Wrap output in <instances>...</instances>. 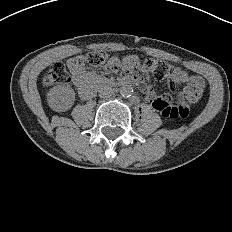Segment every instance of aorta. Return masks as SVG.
Returning <instances> with one entry per match:
<instances>
[{
    "instance_id": "1",
    "label": "aorta",
    "mask_w": 232,
    "mask_h": 232,
    "mask_svg": "<svg viewBox=\"0 0 232 232\" xmlns=\"http://www.w3.org/2000/svg\"><path fill=\"white\" fill-rule=\"evenodd\" d=\"M120 94L122 97H130L133 94V87L131 85H123L120 88Z\"/></svg>"
}]
</instances>
